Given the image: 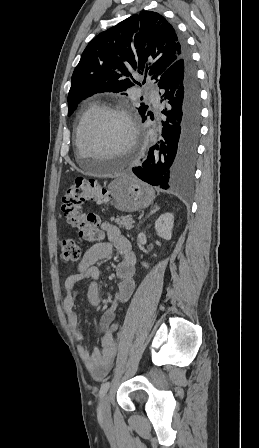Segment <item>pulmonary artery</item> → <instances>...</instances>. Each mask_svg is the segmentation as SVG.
<instances>
[{
  "instance_id": "pulmonary-artery-1",
  "label": "pulmonary artery",
  "mask_w": 259,
  "mask_h": 448,
  "mask_svg": "<svg viewBox=\"0 0 259 448\" xmlns=\"http://www.w3.org/2000/svg\"><path fill=\"white\" fill-rule=\"evenodd\" d=\"M149 100L156 106V108L158 110L161 109L162 106L160 104V96L159 95H155V96L151 95V96H149Z\"/></svg>"
}]
</instances>
